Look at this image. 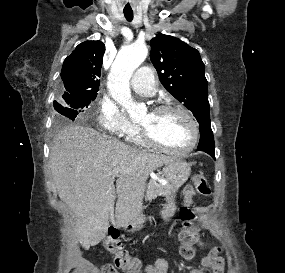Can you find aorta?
<instances>
[{"label":"aorta","mask_w":285,"mask_h":273,"mask_svg":"<svg viewBox=\"0 0 285 273\" xmlns=\"http://www.w3.org/2000/svg\"><path fill=\"white\" fill-rule=\"evenodd\" d=\"M148 49L143 43H134L123 47L108 76V88L112 98L117 101L132 118L139 117L146 111L143 104H135L130 95L129 81L133 72L144 62Z\"/></svg>","instance_id":"1"}]
</instances>
